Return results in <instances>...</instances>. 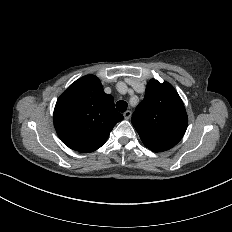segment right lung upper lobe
I'll return each instance as SVG.
<instances>
[{"label": "right lung upper lobe", "mask_w": 232, "mask_h": 232, "mask_svg": "<svg viewBox=\"0 0 232 232\" xmlns=\"http://www.w3.org/2000/svg\"><path fill=\"white\" fill-rule=\"evenodd\" d=\"M122 119L123 115L114 107L113 96L103 91L94 75L83 76L70 85L54 109L59 138L69 148L82 153L100 148Z\"/></svg>", "instance_id": "cb5924a9"}]
</instances>
